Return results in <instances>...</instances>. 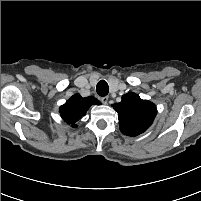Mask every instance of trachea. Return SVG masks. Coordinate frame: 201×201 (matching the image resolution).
Segmentation results:
<instances>
[{"label": "trachea", "mask_w": 201, "mask_h": 201, "mask_svg": "<svg viewBox=\"0 0 201 201\" xmlns=\"http://www.w3.org/2000/svg\"><path fill=\"white\" fill-rule=\"evenodd\" d=\"M96 91L98 95L104 97L109 93V86L105 80H100L97 84Z\"/></svg>", "instance_id": "3493384b"}]
</instances>
